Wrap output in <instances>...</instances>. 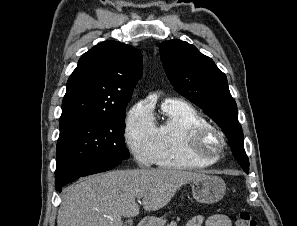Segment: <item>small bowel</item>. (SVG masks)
Wrapping results in <instances>:
<instances>
[{
	"label": "small bowel",
	"mask_w": 297,
	"mask_h": 226,
	"mask_svg": "<svg viewBox=\"0 0 297 226\" xmlns=\"http://www.w3.org/2000/svg\"><path fill=\"white\" fill-rule=\"evenodd\" d=\"M186 226H232V224L230 218L224 214H214L208 217L197 214L187 222Z\"/></svg>",
	"instance_id": "c3829d8e"
}]
</instances>
